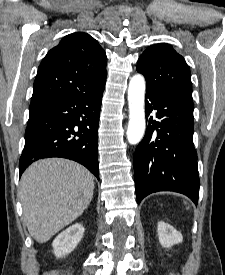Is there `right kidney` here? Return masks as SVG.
<instances>
[{
	"label": "right kidney",
	"mask_w": 225,
	"mask_h": 275,
	"mask_svg": "<svg viewBox=\"0 0 225 275\" xmlns=\"http://www.w3.org/2000/svg\"><path fill=\"white\" fill-rule=\"evenodd\" d=\"M84 230V227L77 223L61 232L52 243L55 256L62 258L71 253L81 241Z\"/></svg>",
	"instance_id": "ca27d5eb"
}]
</instances>
